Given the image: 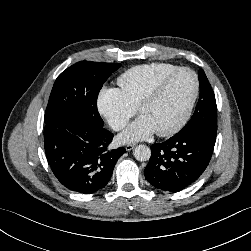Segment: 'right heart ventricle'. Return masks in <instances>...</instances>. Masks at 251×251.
<instances>
[{"label": "right heart ventricle", "mask_w": 251, "mask_h": 251, "mask_svg": "<svg viewBox=\"0 0 251 251\" xmlns=\"http://www.w3.org/2000/svg\"><path fill=\"white\" fill-rule=\"evenodd\" d=\"M170 63H151L132 67L117 78V84L127 102L137 107L147 92L163 77L178 69Z\"/></svg>", "instance_id": "e07e8e85"}]
</instances>
